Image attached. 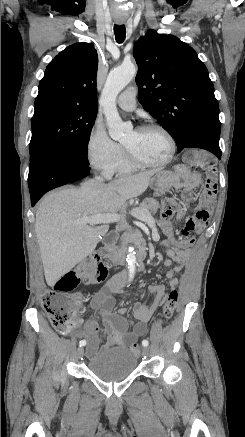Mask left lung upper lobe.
Here are the masks:
<instances>
[{
  "mask_svg": "<svg viewBox=\"0 0 245 437\" xmlns=\"http://www.w3.org/2000/svg\"><path fill=\"white\" fill-rule=\"evenodd\" d=\"M138 100L174 138L178 151L198 134L220 137L219 106L208 70L175 36L148 30L134 45Z\"/></svg>",
  "mask_w": 245,
  "mask_h": 437,
  "instance_id": "5c2ea615",
  "label": "left lung upper lobe"
}]
</instances>
